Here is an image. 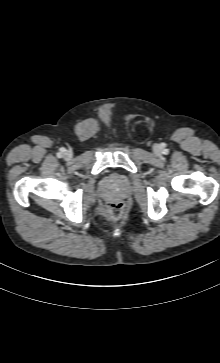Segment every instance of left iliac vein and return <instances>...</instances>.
Returning a JSON list of instances; mask_svg holds the SVG:
<instances>
[{
	"label": "left iliac vein",
	"instance_id": "1",
	"mask_svg": "<svg viewBox=\"0 0 220 363\" xmlns=\"http://www.w3.org/2000/svg\"><path fill=\"white\" fill-rule=\"evenodd\" d=\"M155 151H156V153H160V152H161L160 147H158V146H157V147L155 148Z\"/></svg>",
	"mask_w": 220,
	"mask_h": 363
}]
</instances>
